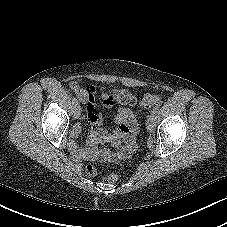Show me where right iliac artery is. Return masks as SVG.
Segmentation results:
<instances>
[{
    "mask_svg": "<svg viewBox=\"0 0 227 227\" xmlns=\"http://www.w3.org/2000/svg\"><path fill=\"white\" fill-rule=\"evenodd\" d=\"M72 102H73V104H75V105L78 104V100H77L75 97L72 99Z\"/></svg>",
    "mask_w": 227,
    "mask_h": 227,
    "instance_id": "1",
    "label": "right iliac artery"
}]
</instances>
